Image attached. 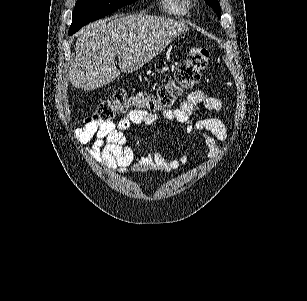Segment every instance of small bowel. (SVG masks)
<instances>
[{
	"label": "small bowel",
	"instance_id": "c3829d8e",
	"mask_svg": "<svg viewBox=\"0 0 307 301\" xmlns=\"http://www.w3.org/2000/svg\"><path fill=\"white\" fill-rule=\"evenodd\" d=\"M223 106L220 98L197 90L190 93L179 107L164 110L162 116L167 121L184 125L187 133L198 131L207 148V157L213 158L219 153L218 143L227 142L228 129L215 117L193 120L192 116L199 111H221ZM157 119L158 115L152 112L132 110L117 123H87L75 130V136L82 144L93 142L91 149L88 150L90 156L108 167L117 168L122 172L143 173L156 170L167 174L186 164L188 156L174 158L154 152L136 159L135 151L128 144L125 135L126 131L134 127L151 125Z\"/></svg>",
	"mask_w": 307,
	"mask_h": 301
}]
</instances>
